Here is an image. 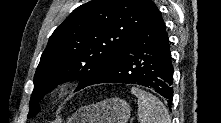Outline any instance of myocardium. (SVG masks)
<instances>
[{
	"label": "myocardium",
	"mask_w": 221,
	"mask_h": 123,
	"mask_svg": "<svg viewBox=\"0 0 221 123\" xmlns=\"http://www.w3.org/2000/svg\"><path fill=\"white\" fill-rule=\"evenodd\" d=\"M70 92V85L68 83H61L55 86L50 92V96L54 101L63 100Z\"/></svg>",
	"instance_id": "1"
}]
</instances>
